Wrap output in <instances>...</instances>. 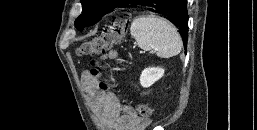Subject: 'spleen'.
I'll use <instances>...</instances> for the list:
<instances>
[{"instance_id": "spleen-1", "label": "spleen", "mask_w": 257, "mask_h": 130, "mask_svg": "<svg viewBox=\"0 0 257 130\" xmlns=\"http://www.w3.org/2000/svg\"><path fill=\"white\" fill-rule=\"evenodd\" d=\"M130 32L139 48L155 50L158 57L170 58L181 51L182 40L177 29L164 18L153 14L136 17Z\"/></svg>"}]
</instances>
